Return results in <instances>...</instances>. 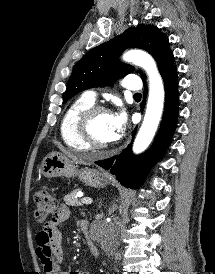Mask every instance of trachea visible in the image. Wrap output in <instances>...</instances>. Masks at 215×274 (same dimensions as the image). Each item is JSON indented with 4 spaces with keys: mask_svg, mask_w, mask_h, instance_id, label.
Masks as SVG:
<instances>
[{
    "mask_svg": "<svg viewBox=\"0 0 215 274\" xmlns=\"http://www.w3.org/2000/svg\"><path fill=\"white\" fill-rule=\"evenodd\" d=\"M134 97H135V98H139V97H141V94H140V93H135V94H134Z\"/></svg>",
    "mask_w": 215,
    "mask_h": 274,
    "instance_id": "obj_1",
    "label": "trachea"
}]
</instances>
